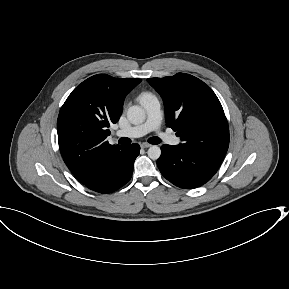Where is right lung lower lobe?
<instances>
[{"mask_svg": "<svg viewBox=\"0 0 289 289\" xmlns=\"http://www.w3.org/2000/svg\"><path fill=\"white\" fill-rule=\"evenodd\" d=\"M140 146H123L91 180L83 182L89 189L99 193H110L125 185L132 177L133 165L139 155Z\"/></svg>", "mask_w": 289, "mask_h": 289, "instance_id": "98d812e1", "label": "right lung lower lobe"}]
</instances>
